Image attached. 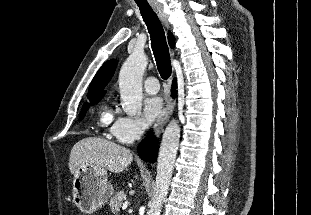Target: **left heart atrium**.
Masks as SVG:
<instances>
[{
	"mask_svg": "<svg viewBox=\"0 0 311 215\" xmlns=\"http://www.w3.org/2000/svg\"><path fill=\"white\" fill-rule=\"evenodd\" d=\"M163 112V102L160 97L151 96L144 100L142 123L145 127L157 120Z\"/></svg>",
	"mask_w": 311,
	"mask_h": 215,
	"instance_id": "obj_1",
	"label": "left heart atrium"
}]
</instances>
